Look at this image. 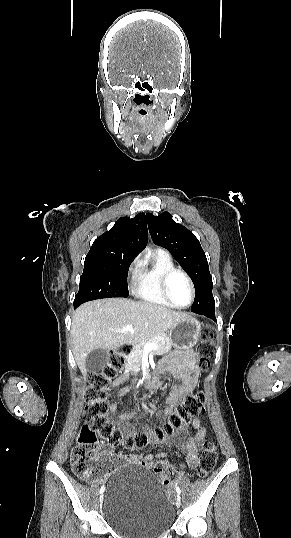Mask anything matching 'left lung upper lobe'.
Returning <instances> with one entry per match:
<instances>
[{
  "mask_svg": "<svg viewBox=\"0 0 291 538\" xmlns=\"http://www.w3.org/2000/svg\"><path fill=\"white\" fill-rule=\"evenodd\" d=\"M146 217L153 242L166 248L194 283L195 299L191 309L215 304L206 255L195 235L176 223L168 212L158 216L147 213Z\"/></svg>",
  "mask_w": 291,
  "mask_h": 538,
  "instance_id": "left-lung-upper-lobe-1",
  "label": "left lung upper lobe"
}]
</instances>
